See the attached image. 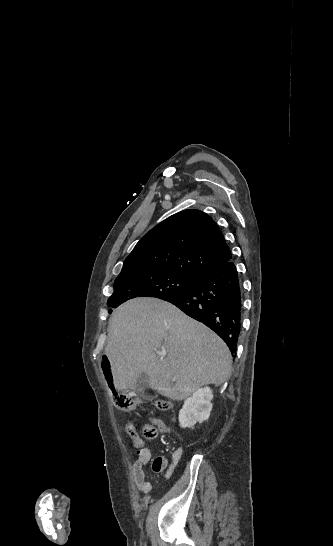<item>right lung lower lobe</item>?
Here are the masks:
<instances>
[{
  "instance_id": "right-lung-lower-lobe-1",
  "label": "right lung lower lobe",
  "mask_w": 333,
  "mask_h": 546,
  "mask_svg": "<svg viewBox=\"0 0 333 546\" xmlns=\"http://www.w3.org/2000/svg\"><path fill=\"white\" fill-rule=\"evenodd\" d=\"M164 300L216 332L236 355L242 325V290L231 260L205 273L189 291Z\"/></svg>"
}]
</instances>
